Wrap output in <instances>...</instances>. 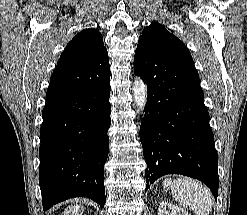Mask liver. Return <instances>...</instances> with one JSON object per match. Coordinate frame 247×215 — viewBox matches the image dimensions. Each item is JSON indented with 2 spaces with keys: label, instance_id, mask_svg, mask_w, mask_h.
I'll use <instances>...</instances> for the list:
<instances>
[{
  "label": "liver",
  "instance_id": "6515ba94",
  "mask_svg": "<svg viewBox=\"0 0 247 215\" xmlns=\"http://www.w3.org/2000/svg\"><path fill=\"white\" fill-rule=\"evenodd\" d=\"M78 201H76V206H69L67 209H65L63 215H82L84 211V207L77 204Z\"/></svg>",
  "mask_w": 247,
  "mask_h": 215
}]
</instances>
